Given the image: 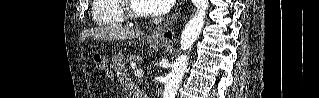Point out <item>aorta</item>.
<instances>
[{
  "instance_id": "aorta-1",
  "label": "aorta",
  "mask_w": 319,
  "mask_h": 98,
  "mask_svg": "<svg viewBox=\"0 0 319 98\" xmlns=\"http://www.w3.org/2000/svg\"><path fill=\"white\" fill-rule=\"evenodd\" d=\"M193 4L196 7L197 12L185 25L180 40V49L184 53L176 59L167 76L163 98L176 97L179 84L188 65L189 58L186 52L193 46L204 25V19L208 8V0H193Z\"/></svg>"
}]
</instances>
